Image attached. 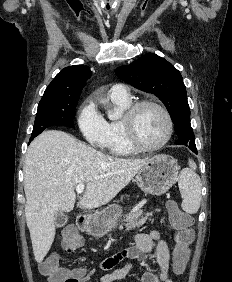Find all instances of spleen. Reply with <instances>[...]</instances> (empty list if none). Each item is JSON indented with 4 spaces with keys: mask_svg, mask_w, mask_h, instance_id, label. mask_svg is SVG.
Returning a JSON list of instances; mask_svg holds the SVG:
<instances>
[{
    "mask_svg": "<svg viewBox=\"0 0 232 282\" xmlns=\"http://www.w3.org/2000/svg\"><path fill=\"white\" fill-rule=\"evenodd\" d=\"M188 164L189 168H184L179 175L178 186L183 198L182 209L186 213L194 214L200 207L202 184L195 172L197 168L195 162L189 159Z\"/></svg>",
    "mask_w": 232,
    "mask_h": 282,
    "instance_id": "obj_1",
    "label": "spleen"
}]
</instances>
